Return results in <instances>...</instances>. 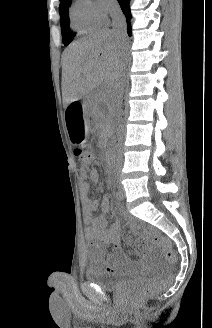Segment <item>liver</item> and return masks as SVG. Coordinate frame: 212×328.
Returning <instances> with one entry per match:
<instances>
[{
  "label": "liver",
  "mask_w": 212,
  "mask_h": 328,
  "mask_svg": "<svg viewBox=\"0 0 212 328\" xmlns=\"http://www.w3.org/2000/svg\"><path fill=\"white\" fill-rule=\"evenodd\" d=\"M123 40L103 29L72 43L63 53L62 95L65 104L94 89L113 93L122 71Z\"/></svg>",
  "instance_id": "1"
}]
</instances>
